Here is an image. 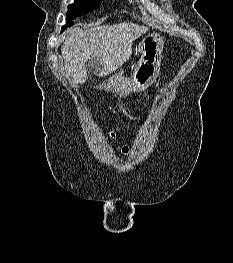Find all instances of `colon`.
<instances>
[{"mask_svg":"<svg viewBox=\"0 0 233 263\" xmlns=\"http://www.w3.org/2000/svg\"><path fill=\"white\" fill-rule=\"evenodd\" d=\"M111 136H113V134H111ZM123 151H124V152H127V148L124 147V148H123Z\"/></svg>","mask_w":233,"mask_h":263,"instance_id":"colon-1","label":"colon"}]
</instances>
